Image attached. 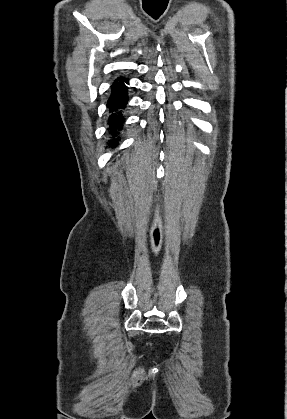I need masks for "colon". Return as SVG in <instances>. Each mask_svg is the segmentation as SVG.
Returning <instances> with one entry per match:
<instances>
[{
  "instance_id": "obj_1",
  "label": "colon",
  "mask_w": 287,
  "mask_h": 419,
  "mask_svg": "<svg viewBox=\"0 0 287 419\" xmlns=\"http://www.w3.org/2000/svg\"><path fill=\"white\" fill-rule=\"evenodd\" d=\"M141 376V371H137L135 374V378L138 379Z\"/></svg>"
}]
</instances>
